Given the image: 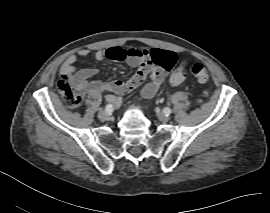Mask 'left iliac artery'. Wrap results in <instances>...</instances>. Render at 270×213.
<instances>
[{
  "instance_id": "44dca946",
  "label": "left iliac artery",
  "mask_w": 270,
  "mask_h": 213,
  "mask_svg": "<svg viewBox=\"0 0 270 213\" xmlns=\"http://www.w3.org/2000/svg\"><path fill=\"white\" fill-rule=\"evenodd\" d=\"M163 112L168 116L171 114V109L166 107V108H164Z\"/></svg>"
}]
</instances>
